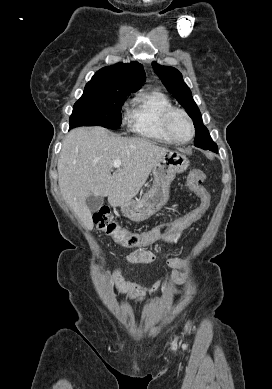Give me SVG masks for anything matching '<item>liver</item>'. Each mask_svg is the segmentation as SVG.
Here are the masks:
<instances>
[{
    "mask_svg": "<svg viewBox=\"0 0 272 389\" xmlns=\"http://www.w3.org/2000/svg\"><path fill=\"white\" fill-rule=\"evenodd\" d=\"M167 152L147 139L120 137L103 127L75 128L66 135L58 158L62 197L90 230L87 196H106L113 207L132 200ZM117 159L121 166L111 174Z\"/></svg>",
    "mask_w": 272,
    "mask_h": 389,
    "instance_id": "6515ba94",
    "label": "liver"
}]
</instances>
